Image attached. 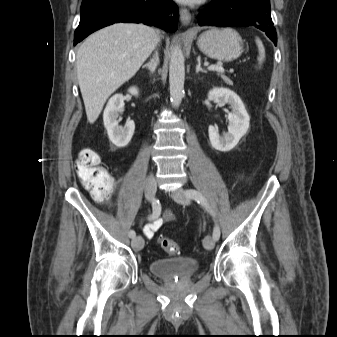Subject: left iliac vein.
I'll use <instances>...</instances> for the list:
<instances>
[{"label":"left iliac vein","mask_w":337,"mask_h":337,"mask_svg":"<svg viewBox=\"0 0 337 337\" xmlns=\"http://www.w3.org/2000/svg\"><path fill=\"white\" fill-rule=\"evenodd\" d=\"M171 197L174 199V201L183 205H188L190 203L188 196L182 188H178L172 192ZM203 245L206 250H212L215 246L214 238L210 235L206 236L203 240Z\"/></svg>","instance_id":"left-iliac-vein-1"}]
</instances>
